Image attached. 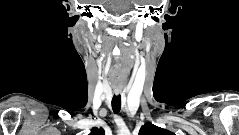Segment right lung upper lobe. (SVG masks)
I'll return each mask as SVG.
<instances>
[{
	"label": "right lung upper lobe",
	"instance_id": "right-lung-upper-lobe-1",
	"mask_svg": "<svg viewBox=\"0 0 239 135\" xmlns=\"http://www.w3.org/2000/svg\"><path fill=\"white\" fill-rule=\"evenodd\" d=\"M105 131L103 128L93 127L89 135H104Z\"/></svg>",
	"mask_w": 239,
	"mask_h": 135
}]
</instances>
